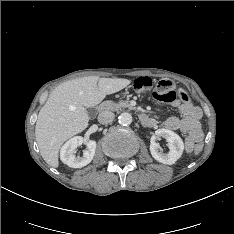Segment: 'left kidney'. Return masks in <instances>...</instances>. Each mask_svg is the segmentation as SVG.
Returning <instances> with one entry per match:
<instances>
[{
  "mask_svg": "<svg viewBox=\"0 0 234 234\" xmlns=\"http://www.w3.org/2000/svg\"><path fill=\"white\" fill-rule=\"evenodd\" d=\"M160 138L166 139L168 142L169 152L163 153L159 151V144L157 140ZM184 143L179 135L168 129H158L155 134L151 137L150 141V152L152 157L160 163L172 165L174 164L183 154Z\"/></svg>",
  "mask_w": 234,
  "mask_h": 234,
  "instance_id": "5707ae66",
  "label": "left kidney"
}]
</instances>
